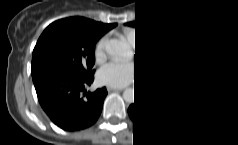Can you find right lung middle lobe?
Here are the masks:
<instances>
[{
    "mask_svg": "<svg viewBox=\"0 0 238 145\" xmlns=\"http://www.w3.org/2000/svg\"><path fill=\"white\" fill-rule=\"evenodd\" d=\"M101 37L83 21L74 18L55 21L39 37L31 67L57 65L80 74L94 72L95 44Z\"/></svg>",
    "mask_w": 238,
    "mask_h": 145,
    "instance_id": "1",
    "label": "right lung middle lobe"
}]
</instances>
